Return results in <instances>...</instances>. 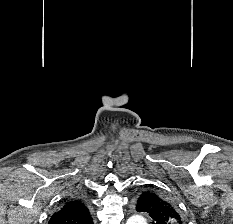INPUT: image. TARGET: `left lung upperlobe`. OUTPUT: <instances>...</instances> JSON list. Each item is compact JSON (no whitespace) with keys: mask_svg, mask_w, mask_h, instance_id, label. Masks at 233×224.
Masks as SVG:
<instances>
[{"mask_svg":"<svg viewBox=\"0 0 233 224\" xmlns=\"http://www.w3.org/2000/svg\"><path fill=\"white\" fill-rule=\"evenodd\" d=\"M136 210L147 213L152 224H185L177 205L158 191L142 192L137 198Z\"/></svg>","mask_w":233,"mask_h":224,"instance_id":"5c2ea615","label":"left lung upper lobe"}]
</instances>
